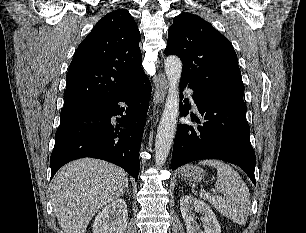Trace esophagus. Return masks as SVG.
Segmentation results:
<instances>
[{
	"label": "esophagus",
	"mask_w": 306,
	"mask_h": 233,
	"mask_svg": "<svg viewBox=\"0 0 306 233\" xmlns=\"http://www.w3.org/2000/svg\"><path fill=\"white\" fill-rule=\"evenodd\" d=\"M167 93V79L163 73H159L156 80V89L153 97L154 107L164 102Z\"/></svg>",
	"instance_id": "34e87169"
}]
</instances>
